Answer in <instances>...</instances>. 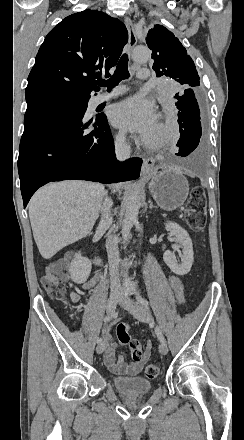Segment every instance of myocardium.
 <instances>
[{"label":"myocardium","instance_id":"f54148a6","mask_svg":"<svg viewBox=\"0 0 244 440\" xmlns=\"http://www.w3.org/2000/svg\"><path fill=\"white\" fill-rule=\"evenodd\" d=\"M161 127H162V130L164 129V127H165V125L164 124H161Z\"/></svg>","mask_w":244,"mask_h":440}]
</instances>
